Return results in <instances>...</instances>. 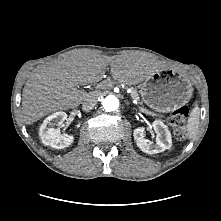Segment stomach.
Segmentation results:
<instances>
[{
  "label": "stomach",
  "mask_w": 221,
  "mask_h": 221,
  "mask_svg": "<svg viewBox=\"0 0 221 221\" xmlns=\"http://www.w3.org/2000/svg\"><path fill=\"white\" fill-rule=\"evenodd\" d=\"M193 93L192 83L183 73L155 72L141 84L143 102L151 109L167 113L185 105Z\"/></svg>",
  "instance_id": "stomach-1"
}]
</instances>
